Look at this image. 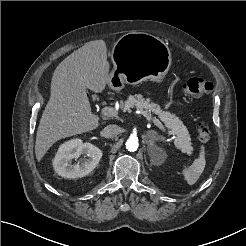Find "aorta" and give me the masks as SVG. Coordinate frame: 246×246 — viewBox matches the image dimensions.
<instances>
[{
	"instance_id": "obj_1",
	"label": "aorta",
	"mask_w": 246,
	"mask_h": 246,
	"mask_svg": "<svg viewBox=\"0 0 246 246\" xmlns=\"http://www.w3.org/2000/svg\"><path fill=\"white\" fill-rule=\"evenodd\" d=\"M126 149L130 152H134L139 147L138 139L130 137L125 143Z\"/></svg>"
}]
</instances>
